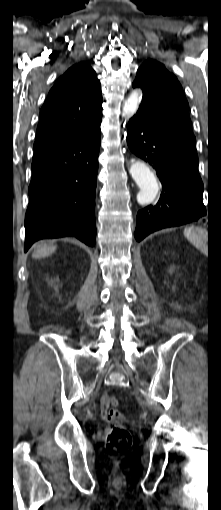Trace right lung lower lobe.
I'll return each mask as SVG.
<instances>
[{
    "label": "right lung lower lobe",
    "instance_id": "1",
    "mask_svg": "<svg viewBox=\"0 0 221 510\" xmlns=\"http://www.w3.org/2000/svg\"><path fill=\"white\" fill-rule=\"evenodd\" d=\"M100 124L63 141L34 149L25 252L40 240L75 236L96 240L95 190Z\"/></svg>",
    "mask_w": 221,
    "mask_h": 510
}]
</instances>
